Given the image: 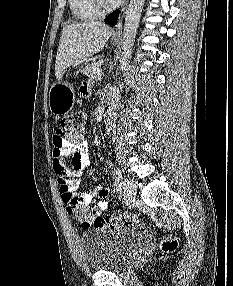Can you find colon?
I'll use <instances>...</instances> for the list:
<instances>
[{"instance_id": "colon-1", "label": "colon", "mask_w": 233, "mask_h": 286, "mask_svg": "<svg viewBox=\"0 0 233 286\" xmlns=\"http://www.w3.org/2000/svg\"><path fill=\"white\" fill-rule=\"evenodd\" d=\"M85 115L77 111L66 115L56 129L61 136H81L84 129ZM67 210L76 216L85 226H93L98 230L117 229L134 224L137 221L133 213H124L118 216L101 217L93 206L83 205L76 196H68L66 199ZM176 240L171 239L164 243V249H171L175 246Z\"/></svg>"}]
</instances>
